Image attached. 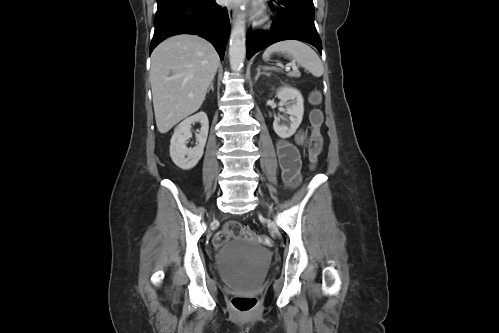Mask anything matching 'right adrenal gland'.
I'll return each instance as SVG.
<instances>
[{"instance_id": "2a0ac1e0", "label": "right adrenal gland", "mask_w": 499, "mask_h": 333, "mask_svg": "<svg viewBox=\"0 0 499 333\" xmlns=\"http://www.w3.org/2000/svg\"><path fill=\"white\" fill-rule=\"evenodd\" d=\"M210 90L214 91L213 81L210 83V86H209L207 92H209Z\"/></svg>"}]
</instances>
